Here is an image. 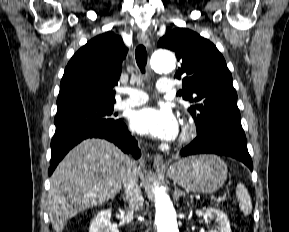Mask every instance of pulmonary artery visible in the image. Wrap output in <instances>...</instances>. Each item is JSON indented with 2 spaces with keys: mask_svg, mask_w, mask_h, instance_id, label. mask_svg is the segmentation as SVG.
<instances>
[{
  "mask_svg": "<svg viewBox=\"0 0 289 232\" xmlns=\"http://www.w3.org/2000/svg\"><path fill=\"white\" fill-rule=\"evenodd\" d=\"M157 90L160 93H169L172 91L173 83L168 78H160L157 81ZM128 94V98L117 102V109H127L144 104L148 100V95L139 89L127 88L124 90Z\"/></svg>",
  "mask_w": 289,
  "mask_h": 232,
  "instance_id": "e3ab8cb5",
  "label": "pulmonary artery"
}]
</instances>
